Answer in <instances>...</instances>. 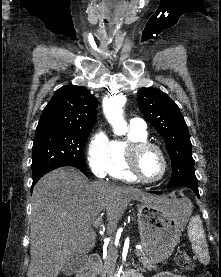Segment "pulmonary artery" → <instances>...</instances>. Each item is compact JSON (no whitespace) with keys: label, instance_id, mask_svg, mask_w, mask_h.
Segmentation results:
<instances>
[{"label":"pulmonary artery","instance_id":"1","mask_svg":"<svg viewBox=\"0 0 221 277\" xmlns=\"http://www.w3.org/2000/svg\"><path fill=\"white\" fill-rule=\"evenodd\" d=\"M130 127L140 131H146V123L141 118H133L130 120Z\"/></svg>","mask_w":221,"mask_h":277}]
</instances>
